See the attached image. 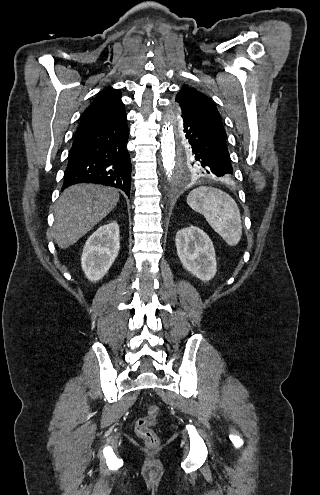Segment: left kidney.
Returning <instances> with one entry per match:
<instances>
[{"label": "left kidney", "instance_id": "left-kidney-1", "mask_svg": "<svg viewBox=\"0 0 320 495\" xmlns=\"http://www.w3.org/2000/svg\"><path fill=\"white\" fill-rule=\"evenodd\" d=\"M176 249L184 268L200 280H211L217 271L216 255L210 238L198 227L176 233Z\"/></svg>", "mask_w": 320, "mask_h": 495}]
</instances>
